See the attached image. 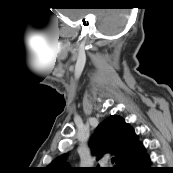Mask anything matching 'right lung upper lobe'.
<instances>
[{
    "label": "right lung upper lobe",
    "mask_w": 173,
    "mask_h": 173,
    "mask_svg": "<svg viewBox=\"0 0 173 173\" xmlns=\"http://www.w3.org/2000/svg\"><path fill=\"white\" fill-rule=\"evenodd\" d=\"M92 154L97 155L98 159L105 154H113L117 167L143 145L138 141L133 128L127 124L123 118L117 115L105 119L96 128L95 134L90 142ZM67 154L52 161L48 167V173H73L74 168L66 166ZM95 173H104L110 170L97 167L93 170Z\"/></svg>",
    "instance_id": "cb5924a9"
}]
</instances>
